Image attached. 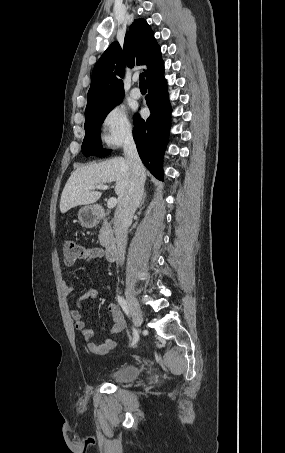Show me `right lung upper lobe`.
I'll return each mask as SVG.
<instances>
[{"mask_svg":"<svg viewBox=\"0 0 285 453\" xmlns=\"http://www.w3.org/2000/svg\"><path fill=\"white\" fill-rule=\"evenodd\" d=\"M146 65V80L164 68L160 46L145 19H135L125 35L124 48L113 42L92 71L85 114L124 97V65Z\"/></svg>","mask_w":285,"mask_h":453,"instance_id":"1","label":"right lung upper lobe"}]
</instances>
